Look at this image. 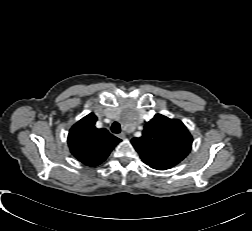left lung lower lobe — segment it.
I'll use <instances>...</instances> for the list:
<instances>
[{
    "instance_id": "1",
    "label": "left lung lower lobe",
    "mask_w": 252,
    "mask_h": 231,
    "mask_svg": "<svg viewBox=\"0 0 252 231\" xmlns=\"http://www.w3.org/2000/svg\"><path fill=\"white\" fill-rule=\"evenodd\" d=\"M158 170H166L165 168H159Z\"/></svg>"
}]
</instances>
